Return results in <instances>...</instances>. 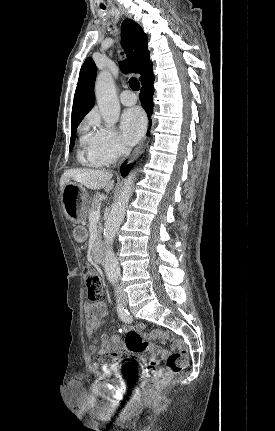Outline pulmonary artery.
I'll return each mask as SVG.
<instances>
[{"mask_svg": "<svg viewBox=\"0 0 275 431\" xmlns=\"http://www.w3.org/2000/svg\"><path fill=\"white\" fill-rule=\"evenodd\" d=\"M120 101L125 106H132L137 102V97L130 90H125L120 94Z\"/></svg>", "mask_w": 275, "mask_h": 431, "instance_id": "obj_1", "label": "pulmonary artery"}]
</instances>
